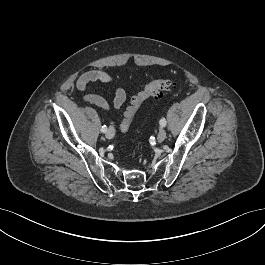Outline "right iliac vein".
I'll return each instance as SVG.
<instances>
[{"label":"right iliac vein","mask_w":265,"mask_h":265,"mask_svg":"<svg viewBox=\"0 0 265 265\" xmlns=\"http://www.w3.org/2000/svg\"><path fill=\"white\" fill-rule=\"evenodd\" d=\"M114 134H115L114 129L110 127L106 132V138L112 139L114 137Z\"/></svg>","instance_id":"obj_1"}]
</instances>
